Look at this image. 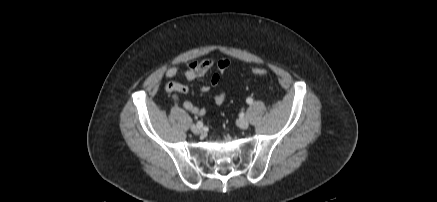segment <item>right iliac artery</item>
<instances>
[{
	"instance_id": "right-iliac-artery-1",
	"label": "right iliac artery",
	"mask_w": 437,
	"mask_h": 202,
	"mask_svg": "<svg viewBox=\"0 0 437 202\" xmlns=\"http://www.w3.org/2000/svg\"><path fill=\"white\" fill-rule=\"evenodd\" d=\"M197 126H198V127H202V126H203V123H202L201 121H198V122H197Z\"/></svg>"
}]
</instances>
